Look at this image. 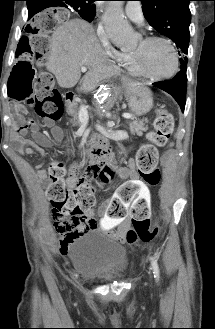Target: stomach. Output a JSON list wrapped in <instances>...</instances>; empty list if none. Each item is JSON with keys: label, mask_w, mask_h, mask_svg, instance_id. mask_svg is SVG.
<instances>
[{"label": "stomach", "mask_w": 215, "mask_h": 329, "mask_svg": "<svg viewBox=\"0 0 215 329\" xmlns=\"http://www.w3.org/2000/svg\"><path fill=\"white\" fill-rule=\"evenodd\" d=\"M130 111L136 116L148 113L153 107L152 92L141 83L128 82L124 85ZM69 110L71 105H68Z\"/></svg>", "instance_id": "obj_1"}]
</instances>
